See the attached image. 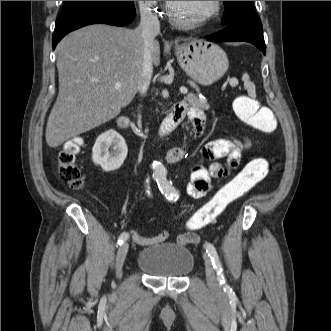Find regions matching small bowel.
I'll return each instance as SVG.
<instances>
[{"label":"small bowel","mask_w":331,"mask_h":331,"mask_svg":"<svg viewBox=\"0 0 331 331\" xmlns=\"http://www.w3.org/2000/svg\"><path fill=\"white\" fill-rule=\"evenodd\" d=\"M177 106L183 109L193 126L194 138H199L206 127V117L202 109L190 107L182 102ZM249 146L248 141H238L228 138H219L206 143L202 150V158L209 161V166L195 165L191 171V178L187 184V192L194 198L204 197L211 189L212 179H223L231 176L239 167L243 150ZM184 147H173L166 155L167 162L175 164L185 157ZM226 159V164L219 163V159ZM168 234L162 232L159 235L146 238L136 232L131 233L133 242L139 245L155 244L166 240ZM179 242L181 240L179 239ZM184 244V243H182Z\"/></svg>","instance_id":"obj_1"}]
</instances>
